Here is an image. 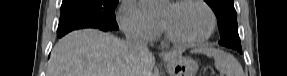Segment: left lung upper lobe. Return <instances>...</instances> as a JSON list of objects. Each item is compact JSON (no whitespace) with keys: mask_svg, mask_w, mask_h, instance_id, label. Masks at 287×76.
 I'll return each instance as SVG.
<instances>
[{"mask_svg":"<svg viewBox=\"0 0 287 76\" xmlns=\"http://www.w3.org/2000/svg\"><path fill=\"white\" fill-rule=\"evenodd\" d=\"M205 2L212 8L218 19L221 35L219 44L229 48L241 47L233 0H205Z\"/></svg>","mask_w":287,"mask_h":76,"instance_id":"5c2ea615","label":"left lung upper lobe"}]
</instances>
